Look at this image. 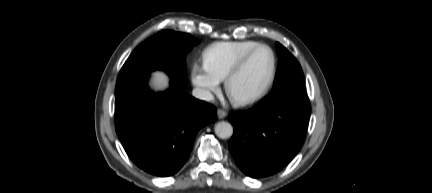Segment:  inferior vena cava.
Segmentation results:
<instances>
[{
  "mask_svg": "<svg viewBox=\"0 0 432 193\" xmlns=\"http://www.w3.org/2000/svg\"><path fill=\"white\" fill-rule=\"evenodd\" d=\"M192 95L200 100H204V101H213L214 100V96L212 95V93L204 88H194Z\"/></svg>",
  "mask_w": 432,
  "mask_h": 193,
  "instance_id": "1",
  "label": "inferior vena cava"
}]
</instances>
